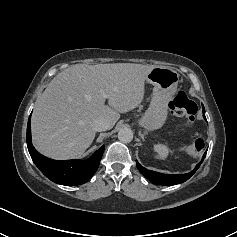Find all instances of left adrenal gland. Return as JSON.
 <instances>
[{"instance_id": "1", "label": "left adrenal gland", "mask_w": 237, "mask_h": 237, "mask_svg": "<svg viewBox=\"0 0 237 237\" xmlns=\"http://www.w3.org/2000/svg\"><path fill=\"white\" fill-rule=\"evenodd\" d=\"M140 136L144 140L145 133H143V134L140 133Z\"/></svg>"}]
</instances>
